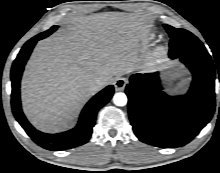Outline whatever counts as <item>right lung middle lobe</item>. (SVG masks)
<instances>
[{
  "instance_id": "obj_1",
  "label": "right lung middle lobe",
  "mask_w": 220,
  "mask_h": 173,
  "mask_svg": "<svg viewBox=\"0 0 220 173\" xmlns=\"http://www.w3.org/2000/svg\"><path fill=\"white\" fill-rule=\"evenodd\" d=\"M56 29H57V26H53L51 29H49L48 31L44 32L42 35H45V37H47L52 32H54Z\"/></svg>"
}]
</instances>
